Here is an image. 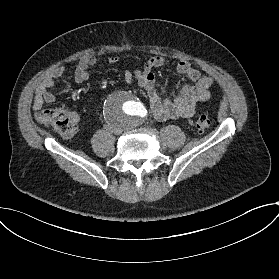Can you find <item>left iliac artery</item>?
Masks as SVG:
<instances>
[{
  "instance_id": "obj_1",
  "label": "left iliac artery",
  "mask_w": 279,
  "mask_h": 279,
  "mask_svg": "<svg viewBox=\"0 0 279 279\" xmlns=\"http://www.w3.org/2000/svg\"><path fill=\"white\" fill-rule=\"evenodd\" d=\"M141 112H143V113H144V115H146L147 110L145 109V110H143V111H141ZM141 114H142V113H141Z\"/></svg>"
}]
</instances>
